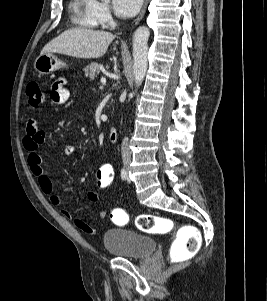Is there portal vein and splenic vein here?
Masks as SVG:
<instances>
[{"label":"portal vein and splenic vein","mask_w":267,"mask_h":301,"mask_svg":"<svg viewBox=\"0 0 267 301\" xmlns=\"http://www.w3.org/2000/svg\"><path fill=\"white\" fill-rule=\"evenodd\" d=\"M101 83H102V84H105V83H106V78L102 77V78H101Z\"/></svg>","instance_id":"18ae733b"}]
</instances>
